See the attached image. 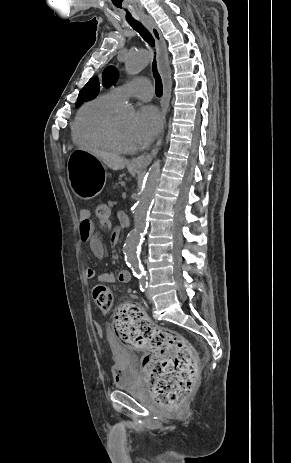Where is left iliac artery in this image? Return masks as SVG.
I'll list each match as a JSON object with an SVG mask.
<instances>
[{
	"label": "left iliac artery",
	"mask_w": 291,
	"mask_h": 463,
	"mask_svg": "<svg viewBox=\"0 0 291 463\" xmlns=\"http://www.w3.org/2000/svg\"><path fill=\"white\" fill-rule=\"evenodd\" d=\"M138 278H139V288L142 292H144L148 286L147 277L139 276Z\"/></svg>",
	"instance_id": "obj_1"
}]
</instances>
